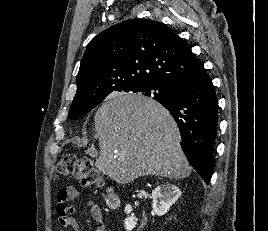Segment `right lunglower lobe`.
Masks as SVG:
<instances>
[{"mask_svg":"<svg viewBox=\"0 0 268 231\" xmlns=\"http://www.w3.org/2000/svg\"><path fill=\"white\" fill-rule=\"evenodd\" d=\"M168 88L165 98L155 99L178 124L181 147L190 165L209 183L214 167V143L218 124V100L211 78L203 69L192 78Z\"/></svg>","mask_w":268,"mask_h":231,"instance_id":"1","label":"right lung lower lobe"}]
</instances>
